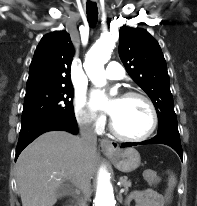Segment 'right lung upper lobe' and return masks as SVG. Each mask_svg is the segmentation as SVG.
<instances>
[{"instance_id":"right-lung-upper-lobe-1","label":"right lung upper lobe","mask_w":197,"mask_h":206,"mask_svg":"<svg viewBox=\"0 0 197 206\" xmlns=\"http://www.w3.org/2000/svg\"><path fill=\"white\" fill-rule=\"evenodd\" d=\"M73 56L74 47L67 32L55 31L43 36L29 68L26 89L71 85Z\"/></svg>"}]
</instances>
